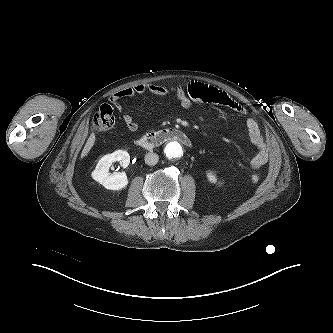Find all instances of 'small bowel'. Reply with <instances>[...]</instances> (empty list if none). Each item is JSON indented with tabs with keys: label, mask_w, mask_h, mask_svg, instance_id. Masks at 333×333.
<instances>
[{
	"label": "small bowel",
	"mask_w": 333,
	"mask_h": 333,
	"mask_svg": "<svg viewBox=\"0 0 333 333\" xmlns=\"http://www.w3.org/2000/svg\"><path fill=\"white\" fill-rule=\"evenodd\" d=\"M140 94L174 96L181 106L186 109H191L198 104L206 103L224 106L241 115L247 114L246 108L228 94L215 87L199 82H191L186 87L182 85L164 86L155 83H142L115 92L110 96V101L119 112L123 113L120 101L122 99L134 98ZM122 119L128 130L134 132L138 129L139 124L131 115L122 114ZM245 123L250 141L257 148V153L250 159V166L252 169H259L268 161L269 147L256 120L252 117H247Z\"/></svg>",
	"instance_id": "small-bowel-1"
}]
</instances>
